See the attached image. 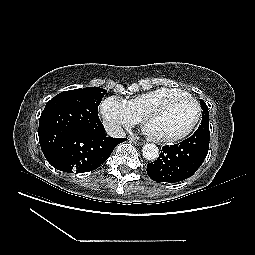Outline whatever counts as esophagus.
<instances>
[{
    "label": "esophagus",
    "mask_w": 255,
    "mask_h": 255,
    "mask_svg": "<svg viewBox=\"0 0 255 255\" xmlns=\"http://www.w3.org/2000/svg\"><path fill=\"white\" fill-rule=\"evenodd\" d=\"M129 141L134 143L135 145H142L143 143L135 138L129 137Z\"/></svg>",
    "instance_id": "1"
}]
</instances>
